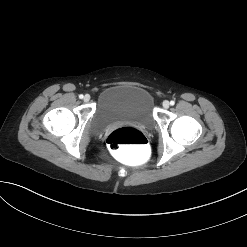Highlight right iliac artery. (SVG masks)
<instances>
[{
    "label": "right iliac artery",
    "mask_w": 247,
    "mask_h": 247,
    "mask_svg": "<svg viewBox=\"0 0 247 247\" xmlns=\"http://www.w3.org/2000/svg\"><path fill=\"white\" fill-rule=\"evenodd\" d=\"M83 97H84V96H83L82 94L79 95V98H80V99H83Z\"/></svg>",
    "instance_id": "1"
}]
</instances>
